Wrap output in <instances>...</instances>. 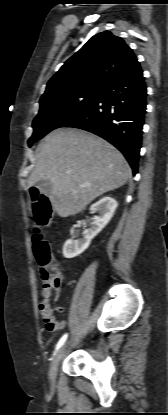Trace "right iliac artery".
Instances as JSON below:
<instances>
[{
	"instance_id": "right-iliac-artery-1",
	"label": "right iliac artery",
	"mask_w": 168,
	"mask_h": 415,
	"mask_svg": "<svg viewBox=\"0 0 168 415\" xmlns=\"http://www.w3.org/2000/svg\"><path fill=\"white\" fill-rule=\"evenodd\" d=\"M68 334H64L60 340L58 341L56 348H55V352L65 343L66 339H67ZM55 354V353H54Z\"/></svg>"
}]
</instances>
